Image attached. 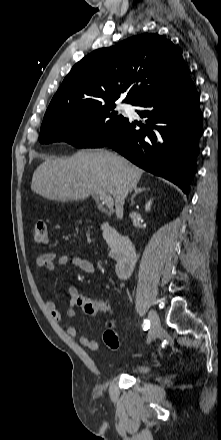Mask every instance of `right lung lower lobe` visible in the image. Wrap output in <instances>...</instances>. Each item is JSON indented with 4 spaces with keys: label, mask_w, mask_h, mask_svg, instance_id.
Wrapping results in <instances>:
<instances>
[{
    "label": "right lung lower lobe",
    "mask_w": 221,
    "mask_h": 440,
    "mask_svg": "<svg viewBox=\"0 0 221 440\" xmlns=\"http://www.w3.org/2000/svg\"><path fill=\"white\" fill-rule=\"evenodd\" d=\"M199 100L191 79L147 97L135 104L147 108L138 111L146 125L128 119L103 146L188 193L203 133Z\"/></svg>",
    "instance_id": "right-lung-lower-lobe-1"
}]
</instances>
